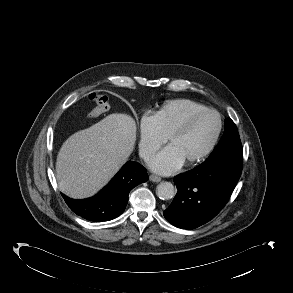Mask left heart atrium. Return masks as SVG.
<instances>
[{
  "label": "left heart atrium",
  "instance_id": "obj_1",
  "mask_svg": "<svg viewBox=\"0 0 293 293\" xmlns=\"http://www.w3.org/2000/svg\"><path fill=\"white\" fill-rule=\"evenodd\" d=\"M184 164L176 150L167 146L149 161V167L160 174H170L177 171Z\"/></svg>",
  "mask_w": 293,
  "mask_h": 293
}]
</instances>
